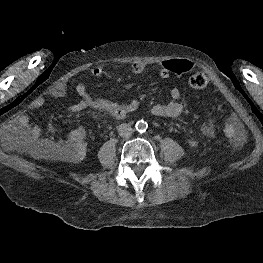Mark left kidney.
<instances>
[{
	"label": "left kidney",
	"instance_id": "1",
	"mask_svg": "<svg viewBox=\"0 0 263 263\" xmlns=\"http://www.w3.org/2000/svg\"><path fill=\"white\" fill-rule=\"evenodd\" d=\"M187 143L189 144L190 147L198 146V142L194 141L193 139L188 140Z\"/></svg>",
	"mask_w": 263,
	"mask_h": 263
}]
</instances>
